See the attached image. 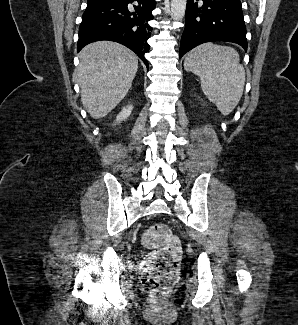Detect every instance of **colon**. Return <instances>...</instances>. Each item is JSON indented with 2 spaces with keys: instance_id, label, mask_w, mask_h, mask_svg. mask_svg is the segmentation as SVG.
Returning <instances> with one entry per match:
<instances>
[{
  "instance_id": "5ec220e1",
  "label": "colon",
  "mask_w": 298,
  "mask_h": 325,
  "mask_svg": "<svg viewBox=\"0 0 298 325\" xmlns=\"http://www.w3.org/2000/svg\"><path fill=\"white\" fill-rule=\"evenodd\" d=\"M142 244L151 251L141 263L140 280L151 295L164 299L178 276L180 241L168 226L157 223L144 232Z\"/></svg>"
}]
</instances>
